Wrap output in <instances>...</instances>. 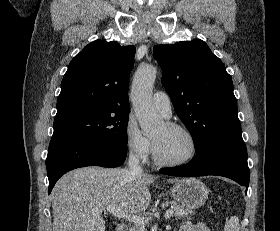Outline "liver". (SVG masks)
I'll use <instances>...</instances> for the list:
<instances>
[{"label": "liver", "instance_id": "obj_1", "mask_svg": "<svg viewBox=\"0 0 280 231\" xmlns=\"http://www.w3.org/2000/svg\"><path fill=\"white\" fill-rule=\"evenodd\" d=\"M154 179L149 173L131 175L122 167L93 165L68 171L52 189L53 231H105L101 213L109 205L126 215L145 211L151 201L147 185Z\"/></svg>", "mask_w": 280, "mask_h": 231}]
</instances>
